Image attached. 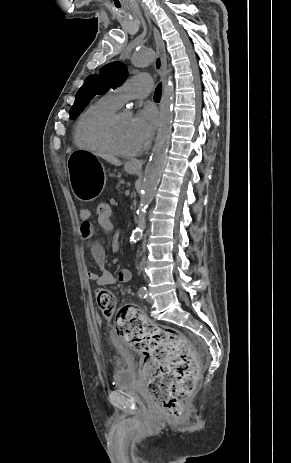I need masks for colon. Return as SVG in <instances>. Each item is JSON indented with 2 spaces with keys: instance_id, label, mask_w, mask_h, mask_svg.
Returning <instances> with one entry per match:
<instances>
[{
  "instance_id": "1",
  "label": "colon",
  "mask_w": 291,
  "mask_h": 463,
  "mask_svg": "<svg viewBox=\"0 0 291 463\" xmlns=\"http://www.w3.org/2000/svg\"><path fill=\"white\" fill-rule=\"evenodd\" d=\"M111 216V202L93 205V219L98 226H111ZM95 299L104 314L115 312L116 300L110 290L98 289ZM116 332L129 347L142 354L141 374L154 401L167 415L180 418L198 377L197 361L186 337L176 329L153 324L128 306L117 312Z\"/></svg>"
}]
</instances>
